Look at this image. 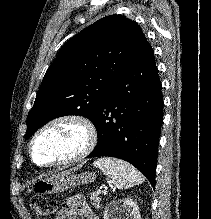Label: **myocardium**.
I'll return each mask as SVG.
<instances>
[{"mask_svg":"<svg viewBox=\"0 0 211 219\" xmlns=\"http://www.w3.org/2000/svg\"><path fill=\"white\" fill-rule=\"evenodd\" d=\"M67 122L74 123L83 130L84 143L81 149L73 156L64 160L47 163V164H41L36 162L33 156V146L37 141V139L40 137V135L45 130H47L48 128L54 125L67 123ZM97 141H98V132L96 126L88 117L75 113L61 114L49 119L35 131L28 144V154L32 163H34L38 167H42V168L64 167V166L76 164L84 160L94 150Z\"/></svg>","mask_w":211,"mask_h":219,"instance_id":"myocardium-1","label":"myocardium"}]
</instances>
